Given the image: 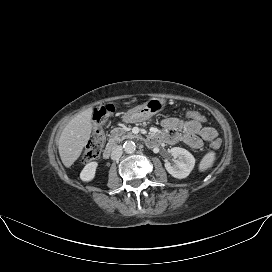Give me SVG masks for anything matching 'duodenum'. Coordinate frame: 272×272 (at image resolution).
Instances as JSON below:
<instances>
[{
  "label": "duodenum",
  "instance_id": "1",
  "mask_svg": "<svg viewBox=\"0 0 272 272\" xmlns=\"http://www.w3.org/2000/svg\"><path fill=\"white\" fill-rule=\"evenodd\" d=\"M146 142L152 146H156L159 142V136L157 134H152V135H149L147 138H146ZM116 144H115V141H111L109 143V145L105 148L104 152H103V157L104 158H109L112 151L114 150Z\"/></svg>",
  "mask_w": 272,
  "mask_h": 272
}]
</instances>
